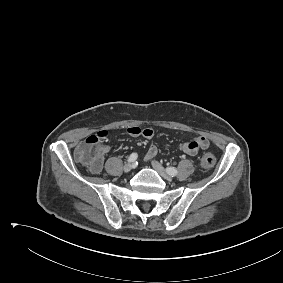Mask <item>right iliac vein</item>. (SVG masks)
Wrapping results in <instances>:
<instances>
[{
    "mask_svg": "<svg viewBox=\"0 0 283 283\" xmlns=\"http://www.w3.org/2000/svg\"><path fill=\"white\" fill-rule=\"evenodd\" d=\"M132 168H133V164L128 162L124 165L123 170L124 172L128 173L132 170Z\"/></svg>",
    "mask_w": 283,
    "mask_h": 283,
    "instance_id": "1",
    "label": "right iliac vein"
}]
</instances>
